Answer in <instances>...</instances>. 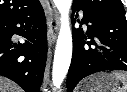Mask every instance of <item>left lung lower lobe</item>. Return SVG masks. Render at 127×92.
<instances>
[{
	"mask_svg": "<svg viewBox=\"0 0 127 92\" xmlns=\"http://www.w3.org/2000/svg\"><path fill=\"white\" fill-rule=\"evenodd\" d=\"M79 10L83 11L81 24L87 25V31L84 33L79 27L72 32L73 55L67 92H72L81 79L93 73L111 69L127 71L126 19L93 13L73 5V14Z\"/></svg>",
	"mask_w": 127,
	"mask_h": 92,
	"instance_id": "0a47b994",
	"label": "left lung lower lobe"
}]
</instances>
